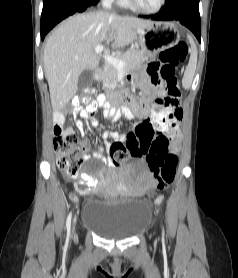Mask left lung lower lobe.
I'll list each match as a JSON object with an SVG mask.
<instances>
[{
    "label": "left lung lower lobe",
    "instance_id": "left-lung-lower-lobe-1",
    "mask_svg": "<svg viewBox=\"0 0 238 278\" xmlns=\"http://www.w3.org/2000/svg\"><path fill=\"white\" fill-rule=\"evenodd\" d=\"M144 17L157 21H178L189 28L200 42L199 0H166L162 12Z\"/></svg>",
    "mask_w": 238,
    "mask_h": 278
}]
</instances>
